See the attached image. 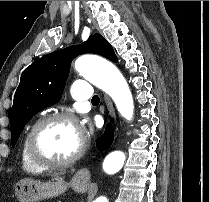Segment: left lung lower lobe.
Returning <instances> with one entry per match:
<instances>
[{"mask_svg": "<svg viewBox=\"0 0 209 202\" xmlns=\"http://www.w3.org/2000/svg\"><path fill=\"white\" fill-rule=\"evenodd\" d=\"M114 131L110 124L106 126L105 133L97 139V147L100 150H105L110 147L113 142Z\"/></svg>", "mask_w": 209, "mask_h": 202, "instance_id": "0a47b994", "label": "left lung lower lobe"}]
</instances>
